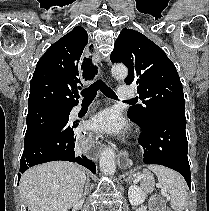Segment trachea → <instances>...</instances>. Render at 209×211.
I'll return each mask as SVG.
<instances>
[{
    "label": "trachea",
    "mask_w": 209,
    "mask_h": 211,
    "mask_svg": "<svg viewBox=\"0 0 209 211\" xmlns=\"http://www.w3.org/2000/svg\"><path fill=\"white\" fill-rule=\"evenodd\" d=\"M100 89L104 95H106L109 98L117 99L116 94L111 90L102 80H97L92 85H90L88 88L83 90L81 92V95L84 97V101H92L96 93ZM129 102H134V100H128Z\"/></svg>",
    "instance_id": "1"
}]
</instances>
